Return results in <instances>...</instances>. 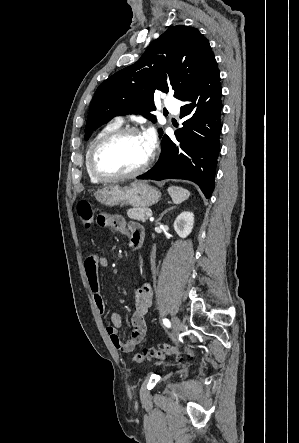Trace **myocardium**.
<instances>
[{
	"label": "myocardium",
	"instance_id": "obj_1",
	"mask_svg": "<svg viewBox=\"0 0 299 443\" xmlns=\"http://www.w3.org/2000/svg\"><path fill=\"white\" fill-rule=\"evenodd\" d=\"M128 134H139L143 135L142 132L137 128L133 126H126V127H119L117 129H114L104 136H102L92 147L89 155V167L92 175L97 178L100 181L103 182H113V181H120L125 180L129 178L136 177L142 173H144L151 165L153 158H154V152L153 150L149 153L144 163L137 167L134 170L120 173V174H108L102 171L98 165H97V156L100 152V150L107 145L108 143L112 142L113 140L124 136Z\"/></svg>",
	"mask_w": 299,
	"mask_h": 443
}]
</instances>
